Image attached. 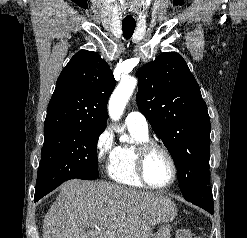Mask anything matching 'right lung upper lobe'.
<instances>
[{
    "mask_svg": "<svg viewBox=\"0 0 247 238\" xmlns=\"http://www.w3.org/2000/svg\"><path fill=\"white\" fill-rule=\"evenodd\" d=\"M115 88L108 64L96 53L77 52L62 70L47 108L44 133L79 126L106 127Z\"/></svg>",
    "mask_w": 247,
    "mask_h": 238,
    "instance_id": "cb5924a9",
    "label": "right lung upper lobe"
}]
</instances>
